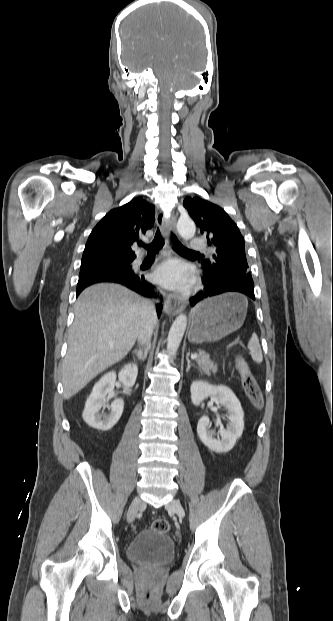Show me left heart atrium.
<instances>
[{"instance_id":"39dd6f15","label":"left heart atrium","mask_w":333,"mask_h":621,"mask_svg":"<svg viewBox=\"0 0 333 621\" xmlns=\"http://www.w3.org/2000/svg\"><path fill=\"white\" fill-rule=\"evenodd\" d=\"M153 279L158 284L170 289H185L193 280L184 266L174 260L161 264L153 273Z\"/></svg>"}]
</instances>
